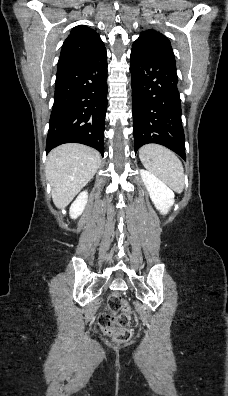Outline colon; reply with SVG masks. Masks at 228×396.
I'll list each match as a JSON object with an SVG mask.
<instances>
[{"mask_svg": "<svg viewBox=\"0 0 228 396\" xmlns=\"http://www.w3.org/2000/svg\"><path fill=\"white\" fill-rule=\"evenodd\" d=\"M109 308L112 312H119L115 316L111 313H102L99 316L100 327L112 335L117 343H124L132 336V331L138 326V317L126 303L122 293L113 292L109 298Z\"/></svg>", "mask_w": 228, "mask_h": 396, "instance_id": "colon-1", "label": "colon"}]
</instances>
